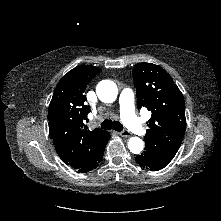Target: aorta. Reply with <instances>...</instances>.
I'll return each mask as SVG.
<instances>
[{"label": "aorta", "instance_id": "762f6f07", "mask_svg": "<svg viewBox=\"0 0 221 221\" xmlns=\"http://www.w3.org/2000/svg\"><path fill=\"white\" fill-rule=\"evenodd\" d=\"M98 98L105 103H112L116 100L118 89L116 84L111 80H102L96 87ZM144 147L142 139L131 137L128 141V148L134 154H139Z\"/></svg>", "mask_w": 221, "mask_h": 221}]
</instances>
